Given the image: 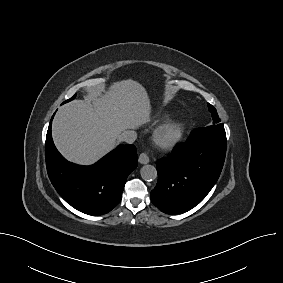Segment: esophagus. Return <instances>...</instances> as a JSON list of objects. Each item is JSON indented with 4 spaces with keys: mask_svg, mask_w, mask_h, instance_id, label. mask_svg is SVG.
Returning a JSON list of instances; mask_svg holds the SVG:
<instances>
[{
    "mask_svg": "<svg viewBox=\"0 0 283 283\" xmlns=\"http://www.w3.org/2000/svg\"><path fill=\"white\" fill-rule=\"evenodd\" d=\"M138 161L140 164H147L149 163V157L146 153H141L139 155Z\"/></svg>",
    "mask_w": 283,
    "mask_h": 283,
    "instance_id": "34e87169",
    "label": "esophagus"
}]
</instances>
